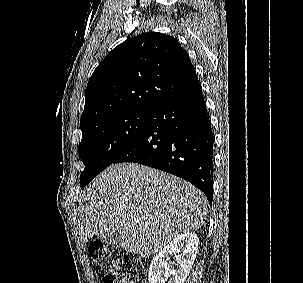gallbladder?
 Returning <instances> with one entry per match:
<instances>
[{"mask_svg": "<svg viewBox=\"0 0 303 283\" xmlns=\"http://www.w3.org/2000/svg\"><path fill=\"white\" fill-rule=\"evenodd\" d=\"M103 241L112 247L118 248L120 246L119 234L108 235L102 238Z\"/></svg>", "mask_w": 303, "mask_h": 283, "instance_id": "gallbladder-1", "label": "gallbladder"}]
</instances>
